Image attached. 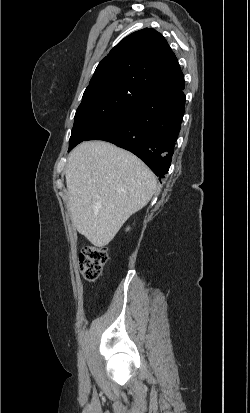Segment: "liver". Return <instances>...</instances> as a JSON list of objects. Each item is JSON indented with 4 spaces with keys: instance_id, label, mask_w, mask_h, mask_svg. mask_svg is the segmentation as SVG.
<instances>
[{
    "instance_id": "liver-1",
    "label": "liver",
    "mask_w": 250,
    "mask_h": 413,
    "mask_svg": "<svg viewBox=\"0 0 250 413\" xmlns=\"http://www.w3.org/2000/svg\"><path fill=\"white\" fill-rule=\"evenodd\" d=\"M71 221L92 245L104 247L155 193L153 172L135 155L105 141L79 144L65 172Z\"/></svg>"
}]
</instances>
